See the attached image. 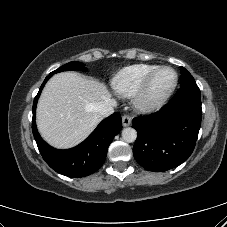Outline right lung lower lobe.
<instances>
[{"instance_id": "1", "label": "right lung lower lobe", "mask_w": 227, "mask_h": 227, "mask_svg": "<svg viewBox=\"0 0 227 227\" xmlns=\"http://www.w3.org/2000/svg\"><path fill=\"white\" fill-rule=\"evenodd\" d=\"M51 76L50 73L45 78L33 103L32 131L38 149L45 162L56 172L75 178L88 176L104 163L110 143L121 130V116L116 112L103 120L86 140L74 148L59 150L49 146L38 133L35 113L40 93Z\"/></svg>"}]
</instances>
